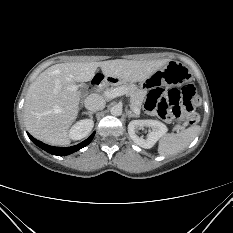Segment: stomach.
Instances as JSON below:
<instances>
[{
    "instance_id": "0dacf381",
    "label": "stomach",
    "mask_w": 233,
    "mask_h": 233,
    "mask_svg": "<svg viewBox=\"0 0 233 233\" xmlns=\"http://www.w3.org/2000/svg\"><path fill=\"white\" fill-rule=\"evenodd\" d=\"M191 72L187 66L176 61H169L163 68L157 70L146 80H142L144 90H149L150 87L168 85H182L190 81Z\"/></svg>"
}]
</instances>
